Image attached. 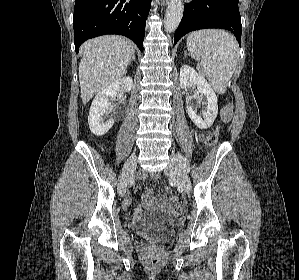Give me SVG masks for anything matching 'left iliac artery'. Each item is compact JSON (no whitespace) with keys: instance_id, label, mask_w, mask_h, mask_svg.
Returning a JSON list of instances; mask_svg holds the SVG:
<instances>
[{"instance_id":"1","label":"left iliac artery","mask_w":299,"mask_h":280,"mask_svg":"<svg viewBox=\"0 0 299 280\" xmlns=\"http://www.w3.org/2000/svg\"><path fill=\"white\" fill-rule=\"evenodd\" d=\"M174 159L179 163V165L183 168L184 171L186 172L190 171L189 162L184 156L178 154L174 156Z\"/></svg>"}]
</instances>
